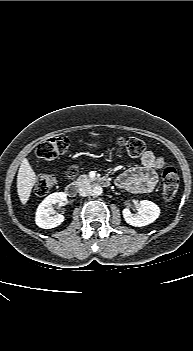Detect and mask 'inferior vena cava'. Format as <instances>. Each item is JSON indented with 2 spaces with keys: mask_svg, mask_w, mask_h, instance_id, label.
Here are the masks:
<instances>
[{
  "mask_svg": "<svg viewBox=\"0 0 193 351\" xmlns=\"http://www.w3.org/2000/svg\"><path fill=\"white\" fill-rule=\"evenodd\" d=\"M78 191H79V195H80V196L85 197V196L90 195L92 189H91V186H90V185L84 184V185H82V186H80V187L78 188Z\"/></svg>",
  "mask_w": 193,
  "mask_h": 351,
  "instance_id": "1",
  "label": "inferior vena cava"
}]
</instances>
